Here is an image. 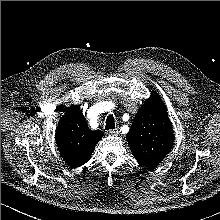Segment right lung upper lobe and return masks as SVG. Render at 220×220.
Returning a JSON list of instances; mask_svg holds the SVG:
<instances>
[{
    "mask_svg": "<svg viewBox=\"0 0 220 220\" xmlns=\"http://www.w3.org/2000/svg\"><path fill=\"white\" fill-rule=\"evenodd\" d=\"M55 135L62 158L70 167L76 168L91 158L103 132L90 130L79 106L74 105L65 110Z\"/></svg>",
    "mask_w": 220,
    "mask_h": 220,
    "instance_id": "right-lung-upper-lobe-1",
    "label": "right lung upper lobe"
}]
</instances>
